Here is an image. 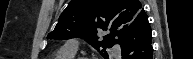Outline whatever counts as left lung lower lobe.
I'll return each instance as SVG.
<instances>
[{
	"label": "left lung lower lobe",
	"instance_id": "obj_1",
	"mask_svg": "<svg viewBox=\"0 0 193 59\" xmlns=\"http://www.w3.org/2000/svg\"><path fill=\"white\" fill-rule=\"evenodd\" d=\"M131 25L118 41L122 59H153L151 28L145 11Z\"/></svg>",
	"mask_w": 193,
	"mask_h": 59
}]
</instances>
